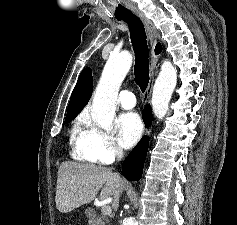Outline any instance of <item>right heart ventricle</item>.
I'll return each instance as SVG.
<instances>
[{
  "label": "right heart ventricle",
  "instance_id": "e07e8e85",
  "mask_svg": "<svg viewBox=\"0 0 237 225\" xmlns=\"http://www.w3.org/2000/svg\"><path fill=\"white\" fill-rule=\"evenodd\" d=\"M86 131V118L80 116L72 129L71 139L73 143V156L77 160L91 161L84 150V136Z\"/></svg>",
  "mask_w": 237,
  "mask_h": 225
}]
</instances>
